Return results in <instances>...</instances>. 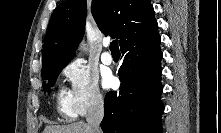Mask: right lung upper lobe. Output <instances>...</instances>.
<instances>
[{
  "mask_svg": "<svg viewBox=\"0 0 221 133\" xmlns=\"http://www.w3.org/2000/svg\"><path fill=\"white\" fill-rule=\"evenodd\" d=\"M92 15L101 32L120 46L158 32L150 0H92ZM86 0H66L54 10L42 53L43 67L69 62L84 34Z\"/></svg>",
  "mask_w": 221,
  "mask_h": 133,
  "instance_id": "1",
  "label": "right lung upper lobe"
}]
</instances>
